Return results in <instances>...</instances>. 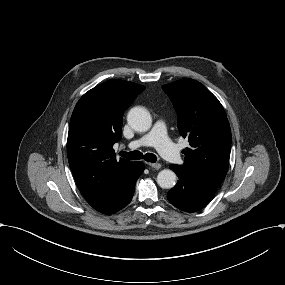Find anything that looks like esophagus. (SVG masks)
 I'll list each match as a JSON object with an SVG mask.
<instances>
[{
	"mask_svg": "<svg viewBox=\"0 0 285 285\" xmlns=\"http://www.w3.org/2000/svg\"><path fill=\"white\" fill-rule=\"evenodd\" d=\"M148 165L156 170H159L161 168L160 163H148Z\"/></svg>",
	"mask_w": 285,
	"mask_h": 285,
	"instance_id": "34e87169",
	"label": "esophagus"
}]
</instances>
